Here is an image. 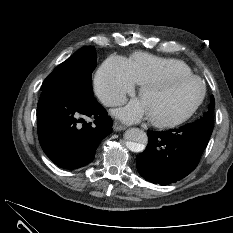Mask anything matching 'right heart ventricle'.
<instances>
[{
	"instance_id": "obj_1",
	"label": "right heart ventricle",
	"mask_w": 233,
	"mask_h": 233,
	"mask_svg": "<svg viewBox=\"0 0 233 233\" xmlns=\"http://www.w3.org/2000/svg\"><path fill=\"white\" fill-rule=\"evenodd\" d=\"M129 74L136 85L161 77L192 73L191 68L183 61L158 57L138 52L125 59Z\"/></svg>"
}]
</instances>
